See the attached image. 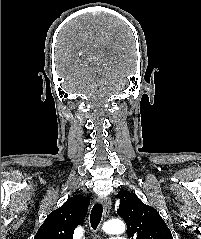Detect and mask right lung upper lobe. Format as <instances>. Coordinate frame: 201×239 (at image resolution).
I'll list each match as a JSON object with an SVG mask.
<instances>
[{"label": "right lung upper lobe", "instance_id": "obj_1", "mask_svg": "<svg viewBox=\"0 0 201 239\" xmlns=\"http://www.w3.org/2000/svg\"><path fill=\"white\" fill-rule=\"evenodd\" d=\"M89 204L88 197L69 198L48 215L34 239H73L74 229L83 222Z\"/></svg>", "mask_w": 201, "mask_h": 239}]
</instances>
